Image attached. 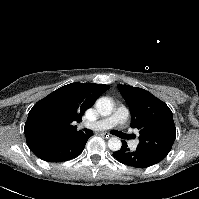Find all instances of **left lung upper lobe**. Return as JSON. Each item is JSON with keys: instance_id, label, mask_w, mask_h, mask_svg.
<instances>
[{"instance_id": "left-lung-upper-lobe-1", "label": "left lung upper lobe", "mask_w": 199, "mask_h": 199, "mask_svg": "<svg viewBox=\"0 0 199 199\" xmlns=\"http://www.w3.org/2000/svg\"><path fill=\"white\" fill-rule=\"evenodd\" d=\"M117 87L130 108L131 127L140 130L138 147L166 156L176 138L170 108L142 88L122 84Z\"/></svg>"}]
</instances>
